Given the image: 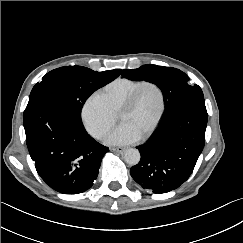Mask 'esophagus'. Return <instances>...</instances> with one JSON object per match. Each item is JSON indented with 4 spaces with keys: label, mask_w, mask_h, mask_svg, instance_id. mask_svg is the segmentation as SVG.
Listing matches in <instances>:
<instances>
[{
    "label": "esophagus",
    "mask_w": 243,
    "mask_h": 243,
    "mask_svg": "<svg viewBox=\"0 0 243 243\" xmlns=\"http://www.w3.org/2000/svg\"><path fill=\"white\" fill-rule=\"evenodd\" d=\"M125 148H118V147H113L111 148V151L117 152V153H123Z\"/></svg>",
    "instance_id": "1"
}]
</instances>
